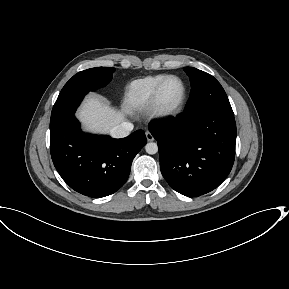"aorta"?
Listing matches in <instances>:
<instances>
[{
  "instance_id": "aorta-1",
  "label": "aorta",
  "mask_w": 289,
  "mask_h": 289,
  "mask_svg": "<svg viewBox=\"0 0 289 289\" xmlns=\"http://www.w3.org/2000/svg\"><path fill=\"white\" fill-rule=\"evenodd\" d=\"M145 150L148 154H156L158 152V145L154 142L147 143Z\"/></svg>"
}]
</instances>
